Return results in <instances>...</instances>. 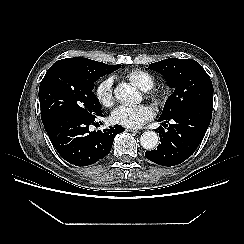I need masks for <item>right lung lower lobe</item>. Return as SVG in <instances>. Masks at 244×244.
I'll return each instance as SVG.
<instances>
[{"mask_svg":"<svg viewBox=\"0 0 244 244\" xmlns=\"http://www.w3.org/2000/svg\"><path fill=\"white\" fill-rule=\"evenodd\" d=\"M103 117L102 114L97 115ZM96 116H62L44 122L45 130L57 150L67 162L76 166H88L104 158L111 150L114 138L124 131L114 125L103 131L89 130Z\"/></svg>","mask_w":244,"mask_h":244,"instance_id":"obj_1","label":"right lung lower lobe"}]
</instances>
